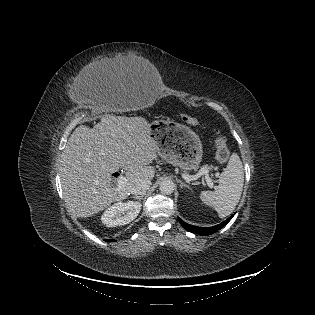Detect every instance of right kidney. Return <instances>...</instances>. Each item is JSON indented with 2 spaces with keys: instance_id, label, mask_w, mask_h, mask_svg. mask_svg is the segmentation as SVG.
Wrapping results in <instances>:
<instances>
[{
  "instance_id": "obj_1",
  "label": "right kidney",
  "mask_w": 315,
  "mask_h": 315,
  "mask_svg": "<svg viewBox=\"0 0 315 315\" xmlns=\"http://www.w3.org/2000/svg\"><path fill=\"white\" fill-rule=\"evenodd\" d=\"M141 210V203L117 202L106 209L101 217V221L108 227L122 226L133 221Z\"/></svg>"
}]
</instances>
